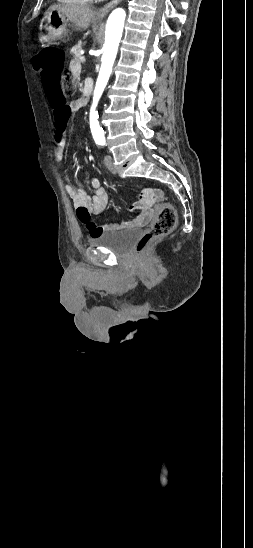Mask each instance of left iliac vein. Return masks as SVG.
<instances>
[{"label":"left iliac vein","instance_id":"4c4485c4","mask_svg":"<svg viewBox=\"0 0 253 548\" xmlns=\"http://www.w3.org/2000/svg\"><path fill=\"white\" fill-rule=\"evenodd\" d=\"M105 165L106 167L111 171V172H115L116 169H115V166L113 164V158L111 155H106L105 157Z\"/></svg>","mask_w":253,"mask_h":548}]
</instances>
